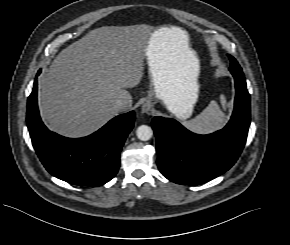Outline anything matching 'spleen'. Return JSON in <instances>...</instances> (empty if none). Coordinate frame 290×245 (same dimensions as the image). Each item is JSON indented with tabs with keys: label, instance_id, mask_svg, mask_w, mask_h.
Here are the masks:
<instances>
[{
	"label": "spleen",
	"instance_id": "spleen-1",
	"mask_svg": "<svg viewBox=\"0 0 290 245\" xmlns=\"http://www.w3.org/2000/svg\"><path fill=\"white\" fill-rule=\"evenodd\" d=\"M220 101L225 106L226 99L224 95L220 96ZM225 121V113L220 109L218 103L212 100L198 116L187 121L185 125L195 133L208 134L221 129Z\"/></svg>",
	"mask_w": 290,
	"mask_h": 245
}]
</instances>
